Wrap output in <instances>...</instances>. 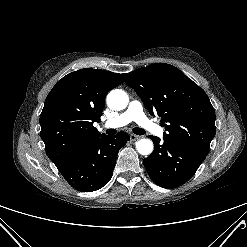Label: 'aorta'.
<instances>
[{
  "instance_id": "obj_1",
  "label": "aorta",
  "mask_w": 247,
  "mask_h": 247,
  "mask_svg": "<svg viewBox=\"0 0 247 247\" xmlns=\"http://www.w3.org/2000/svg\"><path fill=\"white\" fill-rule=\"evenodd\" d=\"M106 101L109 108L120 111L127 107L129 97L125 91L114 89L108 93ZM136 149L141 155H149L153 151V143L150 139H140L136 143Z\"/></svg>"
}]
</instances>
